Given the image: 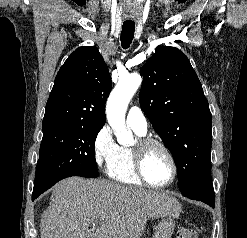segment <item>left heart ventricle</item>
Returning <instances> with one entry per match:
<instances>
[{
	"label": "left heart ventricle",
	"instance_id": "left-heart-ventricle-1",
	"mask_svg": "<svg viewBox=\"0 0 247 238\" xmlns=\"http://www.w3.org/2000/svg\"><path fill=\"white\" fill-rule=\"evenodd\" d=\"M144 170L147 178L156 184L167 182L172 175L169 158L158 147H153L148 151L144 162Z\"/></svg>",
	"mask_w": 247,
	"mask_h": 238
}]
</instances>
